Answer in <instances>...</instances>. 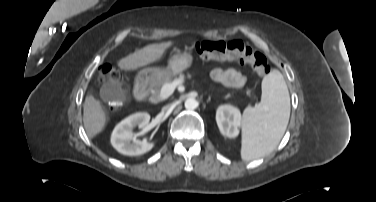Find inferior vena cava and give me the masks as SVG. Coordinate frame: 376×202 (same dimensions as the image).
Instances as JSON below:
<instances>
[{"mask_svg": "<svg viewBox=\"0 0 376 202\" xmlns=\"http://www.w3.org/2000/svg\"><path fill=\"white\" fill-rule=\"evenodd\" d=\"M169 109V106L163 107V111H167Z\"/></svg>", "mask_w": 376, "mask_h": 202, "instance_id": "obj_1", "label": "inferior vena cava"}]
</instances>
